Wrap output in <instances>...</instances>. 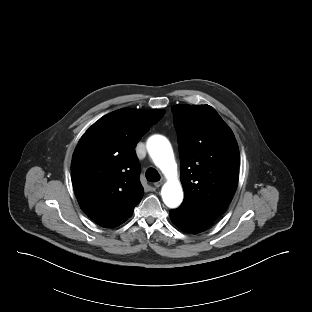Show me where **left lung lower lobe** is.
<instances>
[{
    "label": "left lung lower lobe",
    "instance_id": "1",
    "mask_svg": "<svg viewBox=\"0 0 312 312\" xmlns=\"http://www.w3.org/2000/svg\"><path fill=\"white\" fill-rule=\"evenodd\" d=\"M172 222L181 230L189 233H197L208 229L213 222L199 218L180 208L170 211Z\"/></svg>",
    "mask_w": 312,
    "mask_h": 312
}]
</instances>
